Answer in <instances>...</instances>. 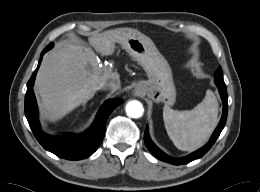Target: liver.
Returning <instances> with one entry per match:
<instances>
[{
	"instance_id": "6515ba94",
	"label": "liver",
	"mask_w": 260,
	"mask_h": 192,
	"mask_svg": "<svg viewBox=\"0 0 260 192\" xmlns=\"http://www.w3.org/2000/svg\"><path fill=\"white\" fill-rule=\"evenodd\" d=\"M117 42L116 30L89 38V44L101 55H110ZM119 79L118 73L101 66L95 52L88 46L65 42L47 54L38 70L35 92L41 110L61 118L91 99L103 82Z\"/></svg>"
}]
</instances>
